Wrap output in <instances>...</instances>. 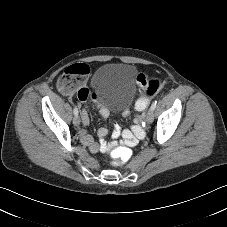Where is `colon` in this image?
<instances>
[{"label":"colon","mask_w":227,"mask_h":227,"mask_svg":"<svg viewBox=\"0 0 227 227\" xmlns=\"http://www.w3.org/2000/svg\"><path fill=\"white\" fill-rule=\"evenodd\" d=\"M75 68L65 72L58 81L59 86L67 93H76L78 99L86 100L87 92L84 88H80V80ZM137 84L139 87L136 106L139 112L147 107L150 99L154 97L161 89L162 83L159 78H147L143 74L137 76ZM134 138L129 136L126 138V144L132 145ZM115 142L106 145L107 150H111L112 164L114 166H124L130 160V151L128 149H115Z\"/></svg>","instance_id":"5ec220e1"}]
</instances>
